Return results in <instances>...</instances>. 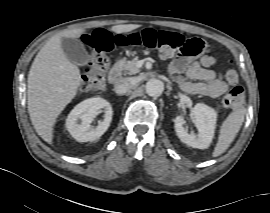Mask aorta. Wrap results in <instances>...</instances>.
Instances as JSON below:
<instances>
[{"label":"aorta","mask_w":270,"mask_h":213,"mask_svg":"<svg viewBox=\"0 0 270 213\" xmlns=\"http://www.w3.org/2000/svg\"><path fill=\"white\" fill-rule=\"evenodd\" d=\"M164 83L159 79H150L146 83V92L149 96L156 97L163 93Z\"/></svg>","instance_id":"1"}]
</instances>
